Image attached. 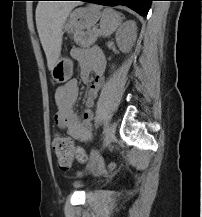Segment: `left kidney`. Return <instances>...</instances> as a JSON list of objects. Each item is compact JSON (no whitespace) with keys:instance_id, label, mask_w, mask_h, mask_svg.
I'll use <instances>...</instances> for the list:
<instances>
[{"instance_id":"1","label":"left kidney","mask_w":202,"mask_h":217,"mask_svg":"<svg viewBox=\"0 0 202 217\" xmlns=\"http://www.w3.org/2000/svg\"><path fill=\"white\" fill-rule=\"evenodd\" d=\"M123 31H118L116 34V41L120 50L124 53H128L137 36V28L134 21H126L122 26Z\"/></svg>"}]
</instances>
